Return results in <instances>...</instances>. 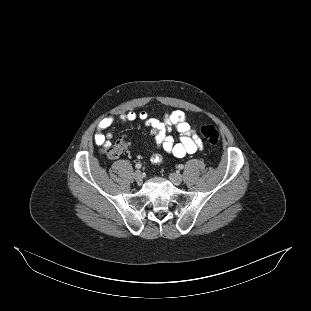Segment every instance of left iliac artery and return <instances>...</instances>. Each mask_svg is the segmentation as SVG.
I'll use <instances>...</instances> for the list:
<instances>
[{
    "instance_id": "left-iliac-artery-1",
    "label": "left iliac artery",
    "mask_w": 311,
    "mask_h": 311,
    "mask_svg": "<svg viewBox=\"0 0 311 311\" xmlns=\"http://www.w3.org/2000/svg\"><path fill=\"white\" fill-rule=\"evenodd\" d=\"M177 167H178V169L182 170L184 168V165L183 164H179Z\"/></svg>"
}]
</instances>
